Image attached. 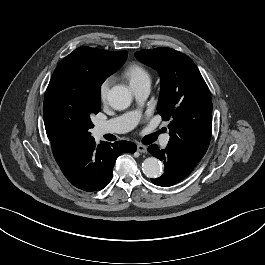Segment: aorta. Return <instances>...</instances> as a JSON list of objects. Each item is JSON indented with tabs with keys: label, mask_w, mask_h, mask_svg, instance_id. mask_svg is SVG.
<instances>
[{
	"label": "aorta",
	"mask_w": 265,
	"mask_h": 265,
	"mask_svg": "<svg viewBox=\"0 0 265 265\" xmlns=\"http://www.w3.org/2000/svg\"><path fill=\"white\" fill-rule=\"evenodd\" d=\"M107 99L112 108L124 110L132 102V93L127 87L116 85L109 90ZM142 171L148 178H157L162 174V164L157 158L148 157L142 163Z\"/></svg>",
	"instance_id": "aorta-1"
}]
</instances>
